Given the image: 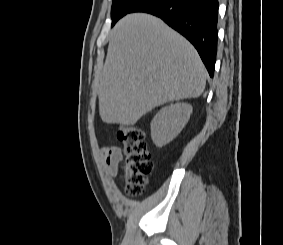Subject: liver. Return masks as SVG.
<instances>
[{
    "mask_svg": "<svg viewBox=\"0 0 283 245\" xmlns=\"http://www.w3.org/2000/svg\"><path fill=\"white\" fill-rule=\"evenodd\" d=\"M206 69L195 48L161 19L134 13L116 24L99 75L101 119L133 125L168 102L199 97Z\"/></svg>",
    "mask_w": 283,
    "mask_h": 245,
    "instance_id": "liver-1",
    "label": "liver"
}]
</instances>
